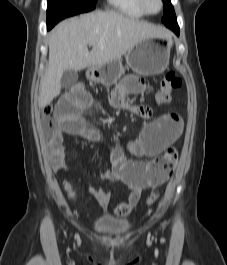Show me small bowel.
I'll return each instance as SVG.
<instances>
[{"mask_svg":"<svg viewBox=\"0 0 227 265\" xmlns=\"http://www.w3.org/2000/svg\"><path fill=\"white\" fill-rule=\"evenodd\" d=\"M117 86L110 95V104L115 108L128 109L125 102L128 94H140L147 88L143 79L129 74L122 81H114ZM91 104H97V99L89 96L85 87H66L62 96L57 99L54 116L57 125L50 134L47 144L48 154L55 171H66L69 163L66 158L63 145L64 134L77 135L91 142L101 140L100 132L88 125L84 118V112ZM132 112H139V107H132ZM182 132L181 118L173 113L159 116L147 124L138 138L128 142V151L137 157H148L149 161L128 159L121 148H111L109 152L111 166L101 173L104 181H120L128 188V194L124 201L118 203L113 214H106L104 222L122 221L137 205L144 189L156 187L165 180L160 179V173L156 168L157 156L166 152L177 140ZM63 187L69 198L76 202V194L71 183L63 181ZM89 194L98 205L107 209L111 203V194L104 187L88 185Z\"/></svg>","mask_w":227,"mask_h":265,"instance_id":"c3829d8e","label":"small bowel"}]
</instances>
